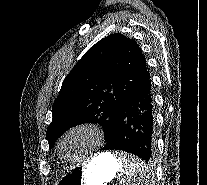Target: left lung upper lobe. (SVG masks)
<instances>
[{
    "label": "left lung upper lobe",
    "instance_id": "1",
    "mask_svg": "<svg viewBox=\"0 0 207 185\" xmlns=\"http://www.w3.org/2000/svg\"><path fill=\"white\" fill-rule=\"evenodd\" d=\"M150 78L134 40L114 33L93 45L64 79L46 137L51 149L68 129L98 123L108 140L121 106Z\"/></svg>",
    "mask_w": 207,
    "mask_h": 185
}]
</instances>
